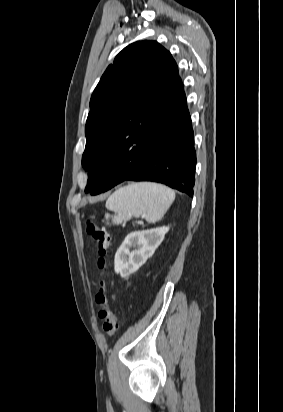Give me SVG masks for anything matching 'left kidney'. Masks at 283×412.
<instances>
[{
    "label": "left kidney",
    "mask_w": 283,
    "mask_h": 412,
    "mask_svg": "<svg viewBox=\"0 0 283 412\" xmlns=\"http://www.w3.org/2000/svg\"><path fill=\"white\" fill-rule=\"evenodd\" d=\"M168 230L163 226L128 234L115 254V272L123 278L136 272L154 254ZM132 247L135 250L130 251Z\"/></svg>",
    "instance_id": "5707ae66"
}]
</instances>
